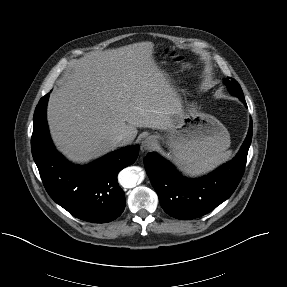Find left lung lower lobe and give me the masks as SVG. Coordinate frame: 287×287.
Returning a JSON list of instances; mask_svg holds the SVG:
<instances>
[{"mask_svg": "<svg viewBox=\"0 0 287 287\" xmlns=\"http://www.w3.org/2000/svg\"><path fill=\"white\" fill-rule=\"evenodd\" d=\"M241 101L247 106L245 99ZM252 119L247 137L236 157L200 179H188L155 152L148 153L144 165L161 207L177 219L203 216L227 200L238 186L246 165L252 139Z\"/></svg>", "mask_w": 287, "mask_h": 287, "instance_id": "0a47b994", "label": "left lung lower lobe"}]
</instances>
